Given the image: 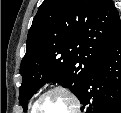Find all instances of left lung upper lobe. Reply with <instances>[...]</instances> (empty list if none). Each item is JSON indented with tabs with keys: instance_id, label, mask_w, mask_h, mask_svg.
Segmentation results:
<instances>
[{
	"instance_id": "1",
	"label": "left lung upper lobe",
	"mask_w": 121,
	"mask_h": 113,
	"mask_svg": "<svg viewBox=\"0 0 121 113\" xmlns=\"http://www.w3.org/2000/svg\"><path fill=\"white\" fill-rule=\"evenodd\" d=\"M121 24L111 0H44L29 30L19 102L48 82L69 88L78 98Z\"/></svg>"
}]
</instances>
